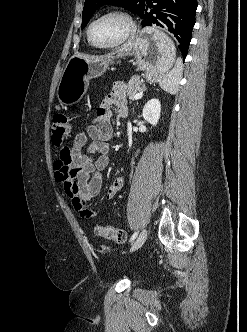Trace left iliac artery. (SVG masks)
<instances>
[{"instance_id":"44dca946","label":"left iliac artery","mask_w":247,"mask_h":332,"mask_svg":"<svg viewBox=\"0 0 247 332\" xmlns=\"http://www.w3.org/2000/svg\"><path fill=\"white\" fill-rule=\"evenodd\" d=\"M138 233H139V231L137 230V231H135L134 233H133V235L131 236V238H130V242H132L134 239H136V237L138 236Z\"/></svg>"}]
</instances>
